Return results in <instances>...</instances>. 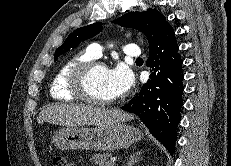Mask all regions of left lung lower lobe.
I'll list each match as a JSON object with an SVG mask.
<instances>
[{
  "label": "left lung lower lobe",
  "mask_w": 231,
  "mask_h": 166,
  "mask_svg": "<svg viewBox=\"0 0 231 166\" xmlns=\"http://www.w3.org/2000/svg\"><path fill=\"white\" fill-rule=\"evenodd\" d=\"M173 28L166 30L150 47L146 65L149 80L135 99L121 109L138 115L149 131L170 152L175 151L177 125L183 106V61Z\"/></svg>",
  "instance_id": "0a47b994"
}]
</instances>
